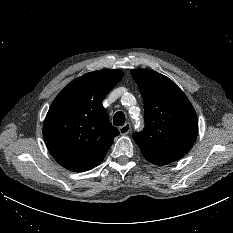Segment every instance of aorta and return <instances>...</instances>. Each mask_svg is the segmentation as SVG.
Returning <instances> with one entry per match:
<instances>
[{
  "instance_id": "obj_1",
  "label": "aorta",
  "mask_w": 233,
  "mask_h": 233,
  "mask_svg": "<svg viewBox=\"0 0 233 233\" xmlns=\"http://www.w3.org/2000/svg\"><path fill=\"white\" fill-rule=\"evenodd\" d=\"M128 99H131V96H128Z\"/></svg>"
}]
</instances>
